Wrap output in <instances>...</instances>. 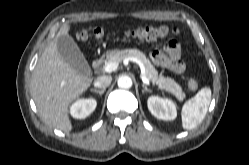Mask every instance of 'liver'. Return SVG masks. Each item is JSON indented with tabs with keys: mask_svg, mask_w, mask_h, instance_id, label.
Returning a JSON list of instances; mask_svg holds the SVG:
<instances>
[{
	"mask_svg": "<svg viewBox=\"0 0 249 165\" xmlns=\"http://www.w3.org/2000/svg\"><path fill=\"white\" fill-rule=\"evenodd\" d=\"M70 26H62L43 51L34 69L31 95L41 119L47 125L64 132L72 130L68 115L70 104L90 87L93 78L79 74L60 55L57 40L68 35Z\"/></svg>",
	"mask_w": 249,
	"mask_h": 165,
	"instance_id": "1",
	"label": "liver"
}]
</instances>
